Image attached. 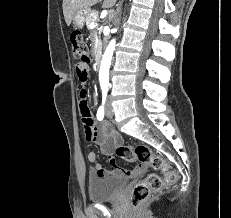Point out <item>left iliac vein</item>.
I'll use <instances>...</instances> for the list:
<instances>
[{"instance_id": "4c4485c4", "label": "left iliac vein", "mask_w": 231, "mask_h": 218, "mask_svg": "<svg viewBox=\"0 0 231 218\" xmlns=\"http://www.w3.org/2000/svg\"><path fill=\"white\" fill-rule=\"evenodd\" d=\"M106 117L109 119L113 118V109L110 103L108 104L107 109H106Z\"/></svg>"}]
</instances>
